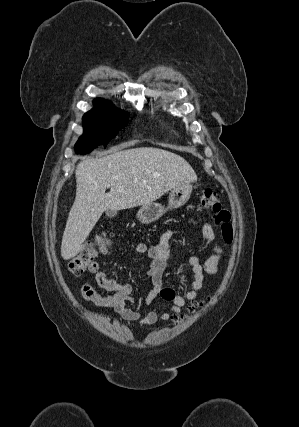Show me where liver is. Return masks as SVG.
<instances>
[{
  "label": "liver",
  "mask_w": 299,
  "mask_h": 427,
  "mask_svg": "<svg viewBox=\"0 0 299 427\" xmlns=\"http://www.w3.org/2000/svg\"><path fill=\"white\" fill-rule=\"evenodd\" d=\"M76 197L62 237L61 256L75 257L104 210L149 204L172 188L197 181L181 156L152 147L115 151L77 165ZM110 188V192L105 193Z\"/></svg>",
  "instance_id": "obj_1"
}]
</instances>
